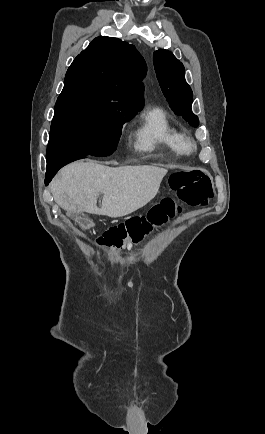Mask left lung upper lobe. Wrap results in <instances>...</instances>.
<instances>
[{
	"label": "left lung upper lobe",
	"mask_w": 265,
	"mask_h": 434,
	"mask_svg": "<svg viewBox=\"0 0 265 434\" xmlns=\"http://www.w3.org/2000/svg\"><path fill=\"white\" fill-rule=\"evenodd\" d=\"M153 63L160 87L171 109L191 126L198 127V117L191 109L193 93L185 81L183 64L170 51L164 49L154 52Z\"/></svg>",
	"instance_id": "left-lung-upper-lobe-1"
}]
</instances>
